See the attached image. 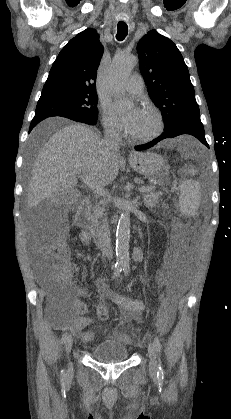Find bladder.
<instances>
[{
	"label": "bladder",
	"mask_w": 231,
	"mask_h": 419,
	"mask_svg": "<svg viewBox=\"0 0 231 419\" xmlns=\"http://www.w3.org/2000/svg\"><path fill=\"white\" fill-rule=\"evenodd\" d=\"M93 359L101 363L122 362L129 358L127 346L117 339L99 342L93 349Z\"/></svg>",
	"instance_id": "bladder-1"
}]
</instances>
